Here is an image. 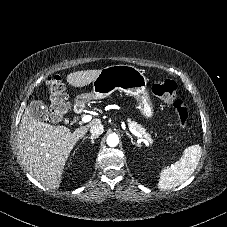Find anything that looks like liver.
I'll list each match as a JSON object with an SVG mask.
<instances>
[{"instance_id":"6515ba94","label":"liver","mask_w":227,"mask_h":227,"mask_svg":"<svg viewBox=\"0 0 227 227\" xmlns=\"http://www.w3.org/2000/svg\"><path fill=\"white\" fill-rule=\"evenodd\" d=\"M100 72L101 70L73 72L67 75V82L74 87H85ZM97 123H101V120L93 119L72 133L67 127L37 121L28 106L19 125L17 142L19 155L29 174L43 186L58 189L73 147Z\"/></svg>"}]
</instances>
